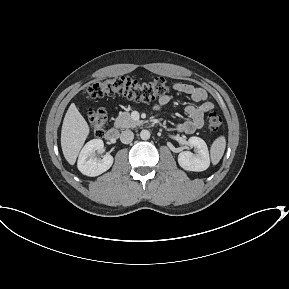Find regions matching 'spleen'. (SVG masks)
I'll use <instances>...</instances> for the list:
<instances>
[{
	"instance_id": "obj_1",
	"label": "spleen",
	"mask_w": 289,
	"mask_h": 289,
	"mask_svg": "<svg viewBox=\"0 0 289 289\" xmlns=\"http://www.w3.org/2000/svg\"><path fill=\"white\" fill-rule=\"evenodd\" d=\"M226 148V139L224 136H219L215 141L212 143L210 148L211 154V161L213 165H216L221 160L224 151Z\"/></svg>"
}]
</instances>
